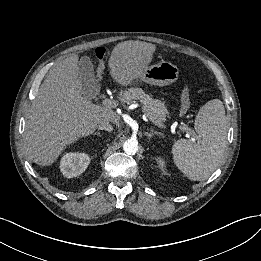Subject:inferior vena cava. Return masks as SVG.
<instances>
[{
  "label": "inferior vena cava",
  "mask_w": 261,
  "mask_h": 261,
  "mask_svg": "<svg viewBox=\"0 0 261 261\" xmlns=\"http://www.w3.org/2000/svg\"><path fill=\"white\" fill-rule=\"evenodd\" d=\"M99 129L111 132L113 130V126L109 122H102L99 125Z\"/></svg>",
  "instance_id": "1"
}]
</instances>
